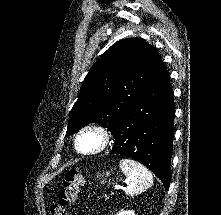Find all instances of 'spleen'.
Returning a JSON list of instances; mask_svg holds the SVG:
<instances>
[{"label": "spleen", "instance_id": "1", "mask_svg": "<svg viewBox=\"0 0 221 215\" xmlns=\"http://www.w3.org/2000/svg\"><path fill=\"white\" fill-rule=\"evenodd\" d=\"M119 166L125 176L130 179V183L125 188V193L127 195H138L148 189L153 183L152 174L142 164L125 158L120 160Z\"/></svg>", "mask_w": 221, "mask_h": 215}]
</instances>
